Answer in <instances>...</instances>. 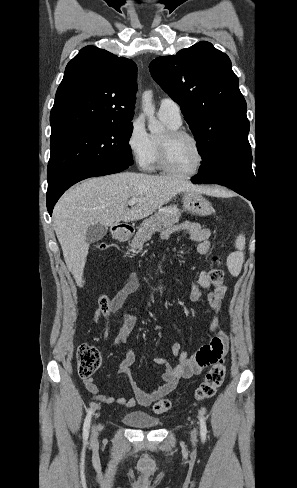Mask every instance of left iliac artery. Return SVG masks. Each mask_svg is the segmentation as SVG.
<instances>
[{"instance_id": "left-iliac-artery-1", "label": "left iliac artery", "mask_w": 297, "mask_h": 488, "mask_svg": "<svg viewBox=\"0 0 297 488\" xmlns=\"http://www.w3.org/2000/svg\"><path fill=\"white\" fill-rule=\"evenodd\" d=\"M199 420H200V435H201V439H202L203 442H205V440H206V434H207V428H206L205 418L203 416H200Z\"/></svg>"}]
</instances>
